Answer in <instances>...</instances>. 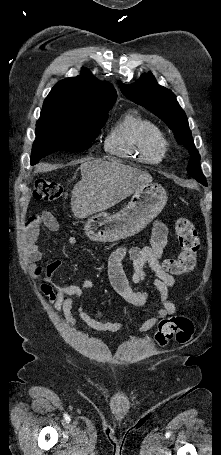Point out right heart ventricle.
<instances>
[{"instance_id": "e07e8e85", "label": "right heart ventricle", "mask_w": 221, "mask_h": 455, "mask_svg": "<svg viewBox=\"0 0 221 455\" xmlns=\"http://www.w3.org/2000/svg\"><path fill=\"white\" fill-rule=\"evenodd\" d=\"M104 148L111 155L149 164L161 162L166 152L160 129L136 111L119 118L106 136Z\"/></svg>"}]
</instances>
